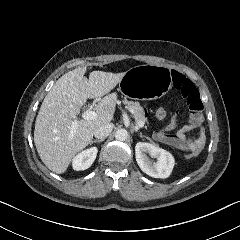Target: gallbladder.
<instances>
[{
    "label": "gallbladder",
    "instance_id": "bac80fb5",
    "mask_svg": "<svg viewBox=\"0 0 240 240\" xmlns=\"http://www.w3.org/2000/svg\"><path fill=\"white\" fill-rule=\"evenodd\" d=\"M84 108H85L86 110H89V109L91 108V105H90L89 103H86V104L84 105Z\"/></svg>",
    "mask_w": 240,
    "mask_h": 240
}]
</instances>
